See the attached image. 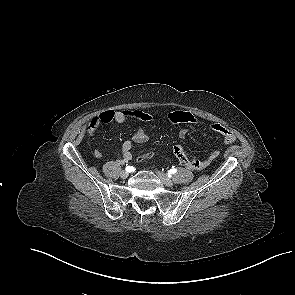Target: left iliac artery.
<instances>
[{"label": "left iliac artery", "mask_w": 295, "mask_h": 295, "mask_svg": "<svg viewBox=\"0 0 295 295\" xmlns=\"http://www.w3.org/2000/svg\"><path fill=\"white\" fill-rule=\"evenodd\" d=\"M177 172V169L176 168H172L168 171V176H171V174H174Z\"/></svg>", "instance_id": "left-iliac-artery-1"}]
</instances>
